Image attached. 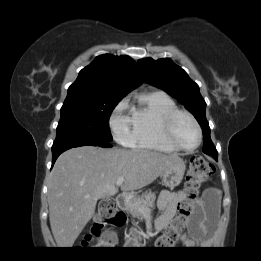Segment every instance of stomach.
<instances>
[{"label":"stomach","mask_w":261,"mask_h":261,"mask_svg":"<svg viewBox=\"0 0 261 261\" xmlns=\"http://www.w3.org/2000/svg\"><path fill=\"white\" fill-rule=\"evenodd\" d=\"M185 169L184 161L178 158L176 162L162 174L163 184L168 188L178 186L183 179Z\"/></svg>","instance_id":"obj_1"}]
</instances>
